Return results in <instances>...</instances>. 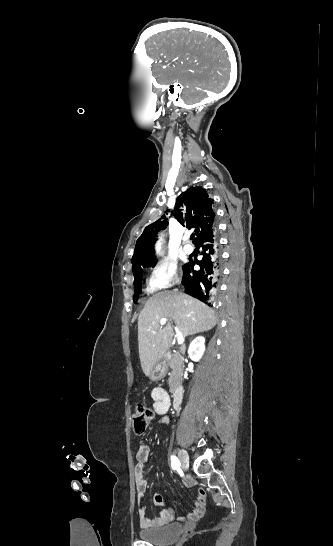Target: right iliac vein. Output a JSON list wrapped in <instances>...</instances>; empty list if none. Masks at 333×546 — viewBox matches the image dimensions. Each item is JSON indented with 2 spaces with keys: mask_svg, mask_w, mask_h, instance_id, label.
Returning a JSON list of instances; mask_svg holds the SVG:
<instances>
[{
  "mask_svg": "<svg viewBox=\"0 0 333 546\" xmlns=\"http://www.w3.org/2000/svg\"><path fill=\"white\" fill-rule=\"evenodd\" d=\"M179 460L182 468L186 469L189 466V457L187 452L184 449H181L178 453Z\"/></svg>",
  "mask_w": 333,
  "mask_h": 546,
  "instance_id": "obj_1",
  "label": "right iliac vein"
}]
</instances>
